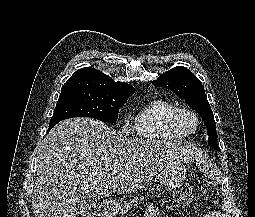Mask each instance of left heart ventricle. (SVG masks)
<instances>
[{
	"instance_id": "1",
	"label": "left heart ventricle",
	"mask_w": 255,
	"mask_h": 217,
	"mask_svg": "<svg viewBox=\"0 0 255 217\" xmlns=\"http://www.w3.org/2000/svg\"><path fill=\"white\" fill-rule=\"evenodd\" d=\"M183 124H184V127L187 129V130H192L194 129L195 127V123L193 121L192 118L188 117V116H185L184 119H183Z\"/></svg>"
}]
</instances>
